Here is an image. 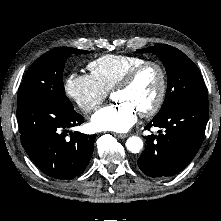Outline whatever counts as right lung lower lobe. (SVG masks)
I'll return each instance as SVG.
<instances>
[{
    "mask_svg": "<svg viewBox=\"0 0 221 221\" xmlns=\"http://www.w3.org/2000/svg\"><path fill=\"white\" fill-rule=\"evenodd\" d=\"M22 145L30 159L46 175L73 179L87 167L96 135L70 132L84 118L48 101L34 100L17 106Z\"/></svg>",
    "mask_w": 221,
    "mask_h": 221,
    "instance_id": "1",
    "label": "right lung lower lobe"
}]
</instances>
